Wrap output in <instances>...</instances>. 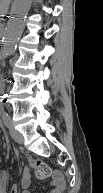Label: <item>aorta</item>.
Wrapping results in <instances>:
<instances>
[{
    "label": "aorta",
    "instance_id": "obj_1",
    "mask_svg": "<svg viewBox=\"0 0 103 193\" xmlns=\"http://www.w3.org/2000/svg\"><path fill=\"white\" fill-rule=\"evenodd\" d=\"M32 0H15L12 15L8 20L3 36V53L6 57L12 55L16 44L22 34L26 17L31 7Z\"/></svg>",
    "mask_w": 103,
    "mask_h": 193
}]
</instances>
